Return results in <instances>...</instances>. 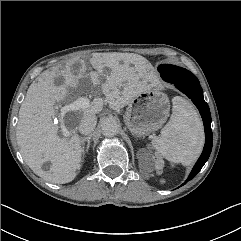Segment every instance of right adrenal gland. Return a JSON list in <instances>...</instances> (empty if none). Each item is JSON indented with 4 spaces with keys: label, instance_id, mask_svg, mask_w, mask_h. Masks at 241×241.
Listing matches in <instances>:
<instances>
[{
    "label": "right adrenal gland",
    "instance_id": "2a0ac1e0",
    "mask_svg": "<svg viewBox=\"0 0 241 241\" xmlns=\"http://www.w3.org/2000/svg\"><path fill=\"white\" fill-rule=\"evenodd\" d=\"M90 139H91V135L81 138V146H82L83 154H85V143H87L86 152H88L90 148Z\"/></svg>",
    "mask_w": 241,
    "mask_h": 241
}]
</instances>
